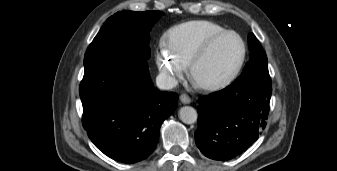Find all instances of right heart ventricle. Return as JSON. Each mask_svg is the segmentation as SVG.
<instances>
[{"instance_id": "right-heart-ventricle-1", "label": "right heart ventricle", "mask_w": 337, "mask_h": 171, "mask_svg": "<svg viewBox=\"0 0 337 171\" xmlns=\"http://www.w3.org/2000/svg\"><path fill=\"white\" fill-rule=\"evenodd\" d=\"M227 29L209 20H193L181 23L170 29L165 44L177 61L188 66L198 48L212 36Z\"/></svg>"}]
</instances>
